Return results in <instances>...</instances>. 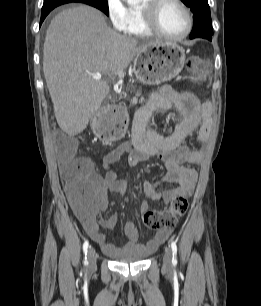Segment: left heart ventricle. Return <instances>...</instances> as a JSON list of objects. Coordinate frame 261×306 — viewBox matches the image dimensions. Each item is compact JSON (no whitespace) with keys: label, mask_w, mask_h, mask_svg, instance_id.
I'll return each instance as SVG.
<instances>
[{"label":"left heart ventricle","mask_w":261,"mask_h":306,"mask_svg":"<svg viewBox=\"0 0 261 306\" xmlns=\"http://www.w3.org/2000/svg\"><path fill=\"white\" fill-rule=\"evenodd\" d=\"M157 23L168 35L178 36L186 29V17L182 9L175 3L167 1L157 11Z\"/></svg>","instance_id":"1"}]
</instances>
